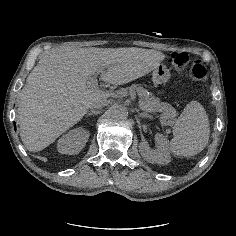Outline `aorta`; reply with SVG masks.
<instances>
[{
  "label": "aorta",
  "mask_w": 236,
  "mask_h": 236,
  "mask_svg": "<svg viewBox=\"0 0 236 236\" xmlns=\"http://www.w3.org/2000/svg\"><path fill=\"white\" fill-rule=\"evenodd\" d=\"M112 116L116 119H126L128 117V109L120 104L112 106L111 109Z\"/></svg>",
  "instance_id": "762f6f07"
}]
</instances>
